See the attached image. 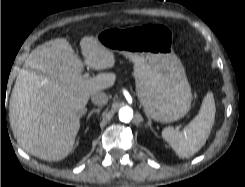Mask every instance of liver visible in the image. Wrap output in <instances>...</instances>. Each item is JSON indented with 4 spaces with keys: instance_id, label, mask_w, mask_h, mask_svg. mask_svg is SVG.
Masks as SVG:
<instances>
[{
    "instance_id": "obj_1",
    "label": "liver",
    "mask_w": 245,
    "mask_h": 187,
    "mask_svg": "<svg viewBox=\"0 0 245 187\" xmlns=\"http://www.w3.org/2000/svg\"><path fill=\"white\" fill-rule=\"evenodd\" d=\"M84 63L94 70L115 65L113 51L95 37L80 41ZM83 62L65 38L36 47L19 71L9 103L14 137L27 153L60 161L72 151L91 95L112 87L114 73L83 75Z\"/></svg>"
}]
</instances>
